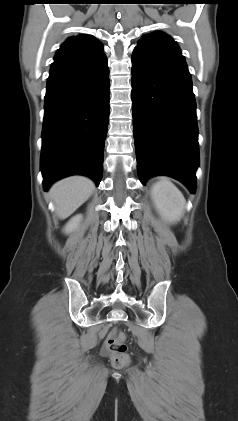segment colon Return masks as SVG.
Instances as JSON below:
<instances>
[{
    "mask_svg": "<svg viewBox=\"0 0 238 421\" xmlns=\"http://www.w3.org/2000/svg\"><path fill=\"white\" fill-rule=\"evenodd\" d=\"M106 350L110 354L111 363L115 368H123L129 363L126 336L121 331H112L106 341Z\"/></svg>",
    "mask_w": 238,
    "mask_h": 421,
    "instance_id": "obj_1",
    "label": "colon"
}]
</instances>
